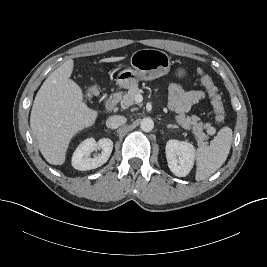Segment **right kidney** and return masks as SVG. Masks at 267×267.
Masks as SVG:
<instances>
[{
    "mask_svg": "<svg viewBox=\"0 0 267 267\" xmlns=\"http://www.w3.org/2000/svg\"><path fill=\"white\" fill-rule=\"evenodd\" d=\"M113 149V142L109 138H102L98 142L94 138L84 140L76 148L72 156V166L81 171L92 170L100 167L109 159ZM94 150H102L101 154L90 157Z\"/></svg>",
    "mask_w": 267,
    "mask_h": 267,
    "instance_id": "obj_1",
    "label": "right kidney"
}]
</instances>
